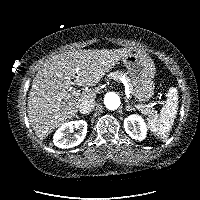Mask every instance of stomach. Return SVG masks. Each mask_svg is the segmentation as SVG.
I'll return each instance as SVG.
<instances>
[{"instance_id":"stomach-1","label":"stomach","mask_w":200,"mask_h":200,"mask_svg":"<svg viewBox=\"0 0 200 200\" xmlns=\"http://www.w3.org/2000/svg\"><path fill=\"white\" fill-rule=\"evenodd\" d=\"M123 64L131 77V93L139 102H146L154 94L155 66L144 51L131 50L123 58Z\"/></svg>"}]
</instances>
